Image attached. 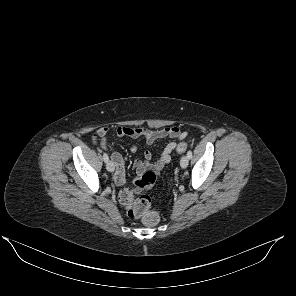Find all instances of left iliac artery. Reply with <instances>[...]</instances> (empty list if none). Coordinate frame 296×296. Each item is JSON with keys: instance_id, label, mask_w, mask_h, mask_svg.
<instances>
[{"instance_id": "44dca946", "label": "left iliac artery", "mask_w": 296, "mask_h": 296, "mask_svg": "<svg viewBox=\"0 0 296 296\" xmlns=\"http://www.w3.org/2000/svg\"><path fill=\"white\" fill-rule=\"evenodd\" d=\"M187 157H188L189 159L192 158V151L189 150V151L187 152Z\"/></svg>"}]
</instances>
